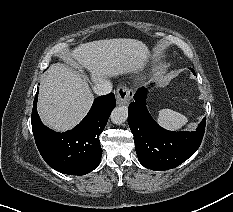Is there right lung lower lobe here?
<instances>
[{
	"mask_svg": "<svg viewBox=\"0 0 233 212\" xmlns=\"http://www.w3.org/2000/svg\"><path fill=\"white\" fill-rule=\"evenodd\" d=\"M37 95L38 91L33 104L32 130L46 163L56 171L70 175H84L94 170L102 155L99 135L115 108L114 94L96 98L86 117L64 133L54 132L43 125L37 113Z\"/></svg>",
	"mask_w": 233,
	"mask_h": 212,
	"instance_id": "98d812e1",
	"label": "right lung lower lobe"
}]
</instances>
